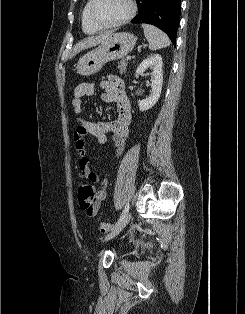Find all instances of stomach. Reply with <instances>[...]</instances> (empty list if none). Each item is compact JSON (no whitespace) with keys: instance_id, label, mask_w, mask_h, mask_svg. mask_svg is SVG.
Here are the masks:
<instances>
[{"instance_id":"0dacf381","label":"stomach","mask_w":245,"mask_h":314,"mask_svg":"<svg viewBox=\"0 0 245 314\" xmlns=\"http://www.w3.org/2000/svg\"><path fill=\"white\" fill-rule=\"evenodd\" d=\"M136 40V36L128 32L113 33L102 41L96 49L79 59L77 72L84 76L99 72L107 62L121 59L130 53Z\"/></svg>"}]
</instances>
